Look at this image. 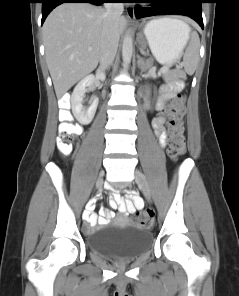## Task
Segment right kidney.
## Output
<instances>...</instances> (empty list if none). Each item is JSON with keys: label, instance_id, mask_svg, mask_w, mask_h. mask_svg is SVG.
<instances>
[{"label": "right kidney", "instance_id": "right-kidney-1", "mask_svg": "<svg viewBox=\"0 0 239 296\" xmlns=\"http://www.w3.org/2000/svg\"><path fill=\"white\" fill-rule=\"evenodd\" d=\"M105 78L106 76L103 72H98L96 75L90 74L84 77L74 88L71 95V107L73 115L79 123L83 125L89 124L95 115L99 103L97 97H92L89 107L83 106V98L87 88H91L96 80L104 81Z\"/></svg>", "mask_w": 239, "mask_h": 296}]
</instances>
